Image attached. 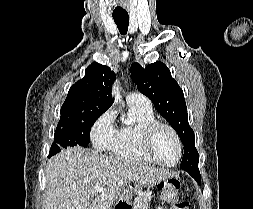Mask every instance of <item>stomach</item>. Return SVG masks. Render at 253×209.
Returning a JSON list of instances; mask_svg holds the SVG:
<instances>
[{"instance_id":"obj_1","label":"stomach","mask_w":253,"mask_h":209,"mask_svg":"<svg viewBox=\"0 0 253 209\" xmlns=\"http://www.w3.org/2000/svg\"><path fill=\"white\" fill-rule=\"evenodd\" d=\"M146 184V181H121V191H118V196H115L111 209H135V206H132V190H146ZM148 186H157L155 192H163V197H166L168 180L164 179L158 183L148 181Z\"/></svg>"}]
</instances>
